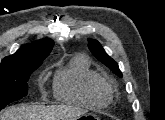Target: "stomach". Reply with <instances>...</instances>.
<instances>
[{
    "instance_id": "stomach-1",
    "label": "stomach",
    "mask_w": 165,
    "mask_h": 120,
    "mask_svg": "<svg viewBox=\"0 0 165 120\" xmlns=\"http://www.w3.org/2000/svg\"><path fill=\"white\" fill-rule=\"evenodd\" d=\"M91 117L93 119H97V120L99 119L95 114L92 113H82L76 119L86 120V119H91Z\"/></svg>"
}]
</instances>
